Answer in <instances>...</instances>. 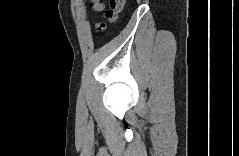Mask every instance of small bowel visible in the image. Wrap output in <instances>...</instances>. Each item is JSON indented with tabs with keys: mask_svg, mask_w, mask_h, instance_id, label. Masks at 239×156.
I'll return each instance as SVG.
<instances>
[{
	"mask_svg": "<svg viewBox=\"0 0 239 156\" xmlns=\"http://www.w3.org/2000/svg\"><path fill=\"white\" fill-rule=\"evenodd\" d=\"M94 11H102L105 8V4L103 2L97 1L93 4Z\"/></svg>",
	"mask_w": 239,
	"mask_h": 156,
	"instance_id": "c3829d8e",
	"label": "small bowel"
}]
</instances>
